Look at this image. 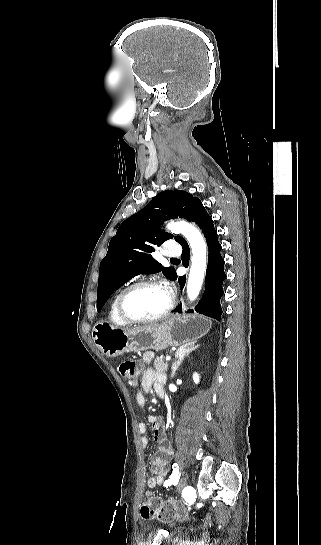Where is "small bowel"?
<instances>
[{"instance_id":"1","label":"small bowel","mask_w":321,"mask_h":545,"mask_svg":"<svg viewBox=\"0 0 321 545\" xmlns=\"http://www.w3.org/2000/svg\"><path fill=\"white\" fill-rule=\"evenodd\" d=\"M165 376L156 372L152 369H148L144 372L141 379V388L142 392H139L136 395V403L143 407L145 405V396L144 393L149 392L154 388L155 392L159 396L165 395L164 390ZM149 421L152 424L153 436L157 442V451L150 458V470L151 476L147 480V486L149 488H155L157 486H162L166 474H167V464L172 456V446L168 439H166L160 423L157 421L156 417L150 416ZM138 431L141 435V446L146 448L148 446V437L146 436L147 427L144 423L138 424Z\"/></svg>"}]
</instances>
